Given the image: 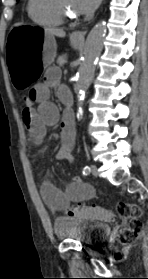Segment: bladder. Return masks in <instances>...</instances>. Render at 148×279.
<instances>
[{
	"label": "bladder",
	"instance_id": "1",
	"mask_svg": "<svg viewBox=\"0 0 148 279\" xmlns=\"http://www.w3.org/2000/svg\"><path fill=\"white\" fill-rule=\"evenodd\" d=\"M54 231L58 239L95 245L108 238L110 227L103 222L89 219L57 217L54 221Z\"/></svg>",
	"mask_w": 148,
	"mask_h": 279
}]
</instances>
